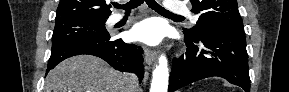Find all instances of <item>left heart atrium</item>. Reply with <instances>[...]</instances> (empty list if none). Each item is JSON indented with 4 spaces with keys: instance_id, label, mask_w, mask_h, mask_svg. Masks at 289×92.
Masks as SVG:
<instances>
[{
    "instance_id": "left-heart-atrium-1",
    "label": "left heart atrium",
    "mask_w": 289,
    "mask_h": 92,
    "mask_svg": "<svg viewBox=\"0 0 289 92\" xmlns=\"http://www.w3.org/2000/svg\"><path fill=\"white\" fill-rule=\"evenodd\" d=\"M130 37L134 41L147 45H158L164 37V27L155 18H148L136 23L130 30Z\"/></svg>"
}]
</instances>
